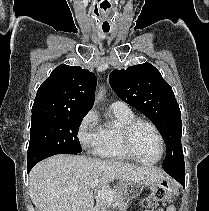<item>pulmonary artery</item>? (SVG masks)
I'll list each match as a JSON object with an SVG mask.
<instances>
[{"instance_id": "e3ab8cb5", "label": "pulmonary artery", "mask_w": 209, "mask_h": 211, "mask_svg": "<svg viewBox=\"0 0 209 211\" xmlns=\"http://www.w3.org/2000/svg\"><path fill=\"white\" fill-rule=\"evenodd\" d=\"M110 109L113 111H129L128 105L123 101H114L110 104Z\"/></svg>"}]
</instances>
